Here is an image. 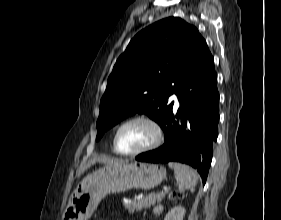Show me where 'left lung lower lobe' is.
Wrapping results in <instances>:
<instances>
[{"label":"left lung lower lobe","instance_id":"0a47b994","mask_svg":"<svg viewBox=\"0 0 281 220\" xmlns=\"http://www.w3.org/2000/svg\"><path fill=\"white\" fill-rule=\"evenodd\" d=\"M175 94L180 102V109L177 113L171 112L162 128L164 145L138 155L136 160L189 164L197 169L205 184L219 122L217 74L209 50L192 64Z\"/></svg>","mask_w":281,"mask_h":220}]
</instances>
